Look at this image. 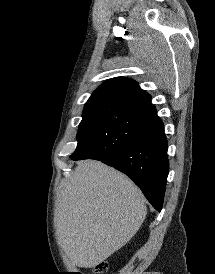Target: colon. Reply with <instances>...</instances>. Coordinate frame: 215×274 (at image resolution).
Returning a JSON list of instances; mask_svg holds the SVG:
<instances>
[{"instance_id": "1", "label": "colon", "mask_w": 215, "mask_h": 274, "mask_svg": "<svg viewBox=\"0 0 215 274\" xmlns=\"http://www.w3.org/2000/svg\"><path fill=\"white\" fill-rule=\"evenodd\" d=\"M107 269V264L106 263H100L96 266V272L102 273Z\"/></svg>"}]
</instances>
